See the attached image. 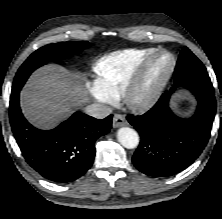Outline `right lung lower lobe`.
Masks as SVG:
<instances>
[{
  "mask_svg": "<svg viewBox=\"0 0 222 219\" xmlns=\"http://www.w3.org/2000/svg\"><path fill=\"white\" fill-rule=\"evenodd\" d=\"M14 137L26 162L44 178L69 183L83 176L92 166L95 141L108 133L112 115L99 120L76 112L52 130H39L21 113L19 92H12L9 106Z\"/></svg>",
  "mask_w": 222,
  "mask_h": 219,
  "instance_id": "right-lung-lower-lobe-1",
  "label": "right lung lower lobe"
}]
</instances>
